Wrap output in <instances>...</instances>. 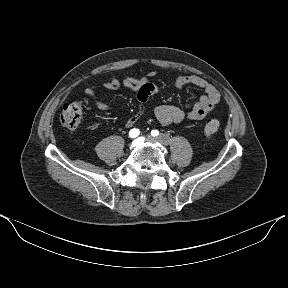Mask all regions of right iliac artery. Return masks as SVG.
<instances>
[{"mask_svg": "<svg viewBox=\"0 0 288 288\" xmlns=\"http://www.w3.org/2000/svg\"><path fill=\"white\" fill-rule=\"evenodd\" d=\"M139 133H140L139 129H136V128L131 129L130 132H129V137L130 138H135V137H137L139 135Z\"/></svg>", "mask_w": 288, "mask_h": 288, "instance_id": "right-iliac-artery-1", "label": "right iliac artery"}]
</instances>
